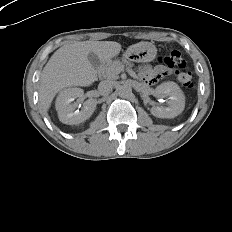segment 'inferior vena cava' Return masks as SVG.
<instances>
[{"instance_id": "1", "label": "inferior vena cava", "mask_w": 232, "mask_h": 232, "mask_svg": "<svg viewBox=\"0 0 232 232\" xmlns=\"http://www.w3.org/2000/svg\"><path fill=\"white\" fill-rule=\"evenodd\" d=\"M114 87V82L111 80L101 81L98 85V91L101 95L109 94Z\"/></svg>"}]
</instances>
